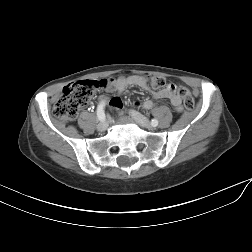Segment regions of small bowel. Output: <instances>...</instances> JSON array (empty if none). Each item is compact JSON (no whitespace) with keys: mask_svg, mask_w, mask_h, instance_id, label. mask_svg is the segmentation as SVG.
Returning <instances> with one entry per match:
<instances>
[{"mask_svg":"<svg viewBox=\"0 0 252 252\" xmlns=\"http://www.w3.org/2000/svg\"><path fill=\"white\" fill-rule=\"evenodd\" d=\"M136 86L141 89H147V82L144 79V77L139 75H131V76H120L118 78H111L108 80V84L106 86V90L108 92H115V93H122L126 88ZM154 98L156 100L161 99H169L171 105L176 111L182 110V100L181 98L176 94L175 90H169V89H163L154 92ZM107 98L102 96L100 98V103L106 102ZM111 105L115 108H122V103L119 99L113 98L111 101ZM155 105V102L152 100L145 101L142 106L145 109H151Z\"/></svg>","mask_w":252,"mask_h":252,"instance_id":"c3829d8e","label":"small bowel"}]
</instances>
